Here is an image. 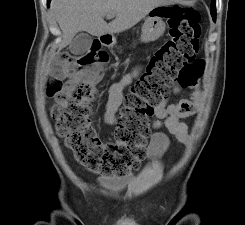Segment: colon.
Instances as JSON below:
<instances>
[{"instance_id": "1", "label": "colon", "mask_w": 245, "mask_h": 225, "mask_svg": "<svg viewBox=\"0 0 245 225\" xmlns=\"http://www.w3.org/2000/svg\"><path fill=\"white\" fill-rule=\"evenodd\" d=\"M170 27L167 40L149 58L144 72L134 82L117 119L115 143L103 145L91 126L95 89L86 82L99 71L74 75L73 65L107 66V52L96 46L84 56L63 55L48 82L47 92L55 97L51 117L57 135L64 139L74 159L89 171L107 177L125 176L144 157L150 135L149 120L155 107L167 98L174 83L192 90L190 99L176 104L179 117L191 116L200 106L199 81L203 63L196 61L200 36V15L194 9L179 6L165 9Z\"/></svg>"}]
</instances>
